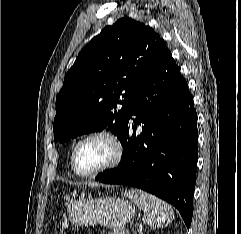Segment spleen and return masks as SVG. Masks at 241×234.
<instances>
[{
  "label": "spleen",
  "mask_w": 241,
  "mask_h": 234,
  "mask_svg": "<svg viewBox=\"0 0 241 234\" xmlns=\"http://www.w3.org/2000/svg\"><path fill=\"white\" fill-rule=\"evenodd\" d=\"M123 195L131 199L147 217L149 226L153 229L163 228L174 219L172 207L160 198L139 189H128Z\"/></svg>",
  "instance_id": "1"
}]
</instances>
